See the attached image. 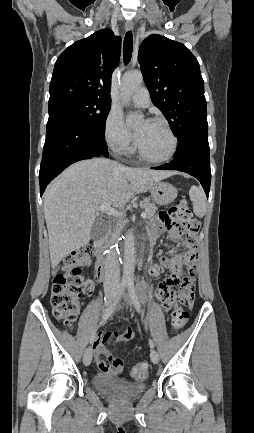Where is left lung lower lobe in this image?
I'll return each instance as SVG.
<instances>
[{
    "label": "left lung lower lobe",
    "mask_w": 254,
    "mask_h": 433,
    "mask_svg": "<svg viewBox=\"0 0 254 433\" xmlns=\"http://www.w3.org/2000/svg\"><path fill=\"white\" fill-rule=\"evenodd\" d=\"M152 169L186 172L200 181L208 197L211 182L208 137L188 140L177 148L175 157L170 163Z\"/></svg>",
    "instance_id": "left-lung-lower-lobe-1"
}]
</instances>
